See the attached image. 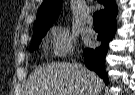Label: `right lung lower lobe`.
Wrapping results in <instances>:
<instances>
[{"instance_id":"obj_1","label":"right lung lower lobe","mask_w":135,"mask_h":95,"mask_svg":"<svg viewBox=\"0 0 135 95\" xmlns=\"http://www.w3.org/2000/svg\"><path fill=\"white\" fill-rule=\"evenodd\" d=\"M115 32V17L103 19L101 21V31L97 38V40L101 41V45L96 49H85L83 52L86 67L96 72L106 83H108V78L105 71V57L108 52L109 42Z\"/></svg>"}]
</instances>
